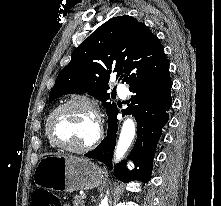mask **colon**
Instances as JSON below:
<instances>
[{
  "mask_svg": "<svg viewBox=\"0 0 221 206\" xmlns=\"http://www.w3.org/2000/svg\"><path fill=\"white\" fill-rule=\"evenodd\" d=\"M30 206H64L60 200L45 189H37L31 196Z\"/></svg>",
  "mask_w": 221,
  "mask_h": 206,
  "instance_id": "5ec220e1",
  "label": "colon"
}]
</instances>
